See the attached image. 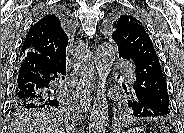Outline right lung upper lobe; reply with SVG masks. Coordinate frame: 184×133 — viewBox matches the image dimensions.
<instances>
[{"label": "right lung upper lobe", "mask_w": 184, "mask_h": 133, "mask_svg": "<svg viewBox=\"0 0 184 133\" xmlns=\"http://www.w3.org/2000/svg\"><path fill=\"white\" fill-rule=\"evenodd\" d=\"M70 31L58 10L39 17L31 26L18 56V62L27 54H40L50 60L66 58Z\"/></svg>", "instance_id": "1"}]
</instances>
